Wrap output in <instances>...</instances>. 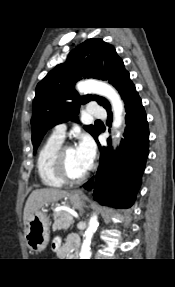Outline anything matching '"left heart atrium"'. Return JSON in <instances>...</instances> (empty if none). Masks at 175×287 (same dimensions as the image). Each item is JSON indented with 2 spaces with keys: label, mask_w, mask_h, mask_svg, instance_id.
I'll use <instances>...</instances> for the list:
<instances>
[{
  "label": "left heart atrium",
  "mask_w": 175,
  "mask_h": 287,
  "mask_svg": "<svg viewBox=\"0 0 175 287\" xmlns=\"http://www.w3.org/2000/svg\"><path fill=\"white\" fill-rule=\"evenodd\" d=\"M76 150L84 161L86 167L90 168L96 154V148L93 140L89 136H83L76 146Z\"/></svg>",
  "instance_id": "39dd6f15"
}]
</instances>
